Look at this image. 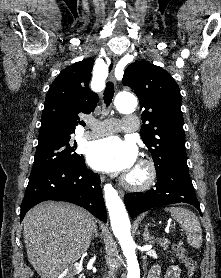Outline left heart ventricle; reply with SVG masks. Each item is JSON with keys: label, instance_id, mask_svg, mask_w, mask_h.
<instances>
[{"label": "left heart ventricle", "instance_id": "obj_1", "mask_svg": "<svg viewBox=\"0 0 221 278\" xmlns=\"http://www.w3.org/2000/svg\"><path fill=\"white\" fill-rule=\"evenodd\" d=\"M129 173L132 174L133 176L138 175L137 171L134 168Z\"/></svg>", "mask_w": 221, "mask_h": 278}]
</instances>
